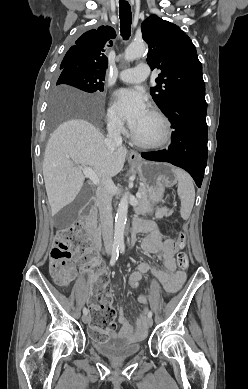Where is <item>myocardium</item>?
Segmentation results:
<instances>
[{
    "label": "myocardium",
    "mask_w": 248,
    "mask_h": 389,
    "mask_svg": "<svg viewBox=\"0 0 248 389\" xmlns=\"http://www.w3.org/2000/svg\"><path fill=\"white\" fill-rule=\"evenodd\" d=\"M148 111L160 121L163 129L161 137L155 141H145L138 138L131 129V140L136 145L146 149H158L168 145L172 139V127L169 119L163 112L155 107H150Z\"/></svg>",
    "instance_id": "f54148a6"
}]
</instances>
